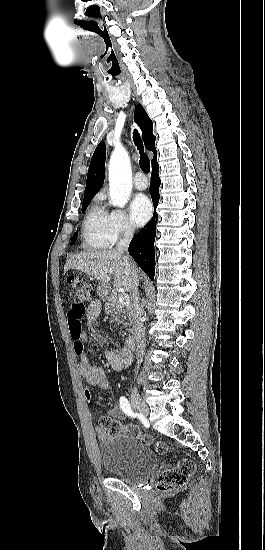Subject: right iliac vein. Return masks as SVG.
I'll list each match as a JSON object with an SVG mask.
<instances>
[{
  "label": "right iliac vein",
  "instance_id": "63e3f726",
  "mask_svg": "<svg viewBox=\"0 0 265 550\" xmlns=\"http://www.w3.org/2000/svg\"><path fill=\"white\" fill-rule=\"evenodd\" d=\"M132 406L140 412L142 415L147 416L149 414V408L143 399L140 397L139 393L134 389L130 395Z\"/></svg>",
  "mask_w": 265,
  "mask_h": 550
}]
</instances>
